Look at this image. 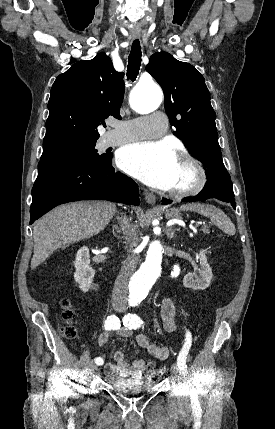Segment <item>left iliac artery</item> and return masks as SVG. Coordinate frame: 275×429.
Returning a JSON list of instances; mask_svg holds the SVG:
<instances>
[{
	"mask_svg": "<svg viewBox=\"0 0 275 429\" xmlns=\"http://www.w3.org/2000/svg\"><path fill=\"white\" fill-rule=\"evenodd\" d=\"M123 324L128 329H137L143 324V321L136 314H127L123 319ZM191 343H192V335L190 331L187 330L185 335V344L177 358V365L180 370V373L183 376L187 375L186 359H187L189 349L191 347ZM191 402L194 407L199 405L196 392L191 393Z\"/></svg>",
	"mask_w": 275,
	"mask_h": 429,
	"instance_id": "44dca946",
	"label": "left iliac artery"
}]
</instances>
